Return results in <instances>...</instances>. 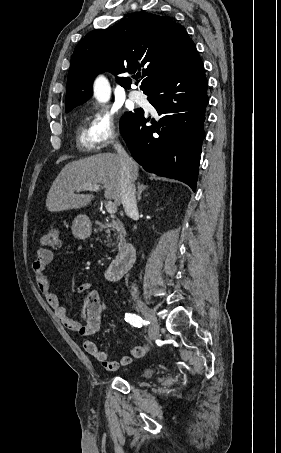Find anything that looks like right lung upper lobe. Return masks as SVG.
<instances>
[{"label":"right lung upper lobe","instance_id":"obj_1","mask_svg":"<svg viewBox=\"0 0 281 453\" xmlns=\"http://www.w3.org/2000/svg\"><path fill=\"white\" fill-rule=\"evenodd\" d=\"M196 53L185 28L170 16L138 12L110 28L93 30L73 52L66 111L91 97L92 83L98 73L109 71L119 75L141 71L140 89L144 92ZM117 81L124 88L131 87L129 77H117Z\"/></svg>","mask_w":281,"mask_h":453}]
</instances>
